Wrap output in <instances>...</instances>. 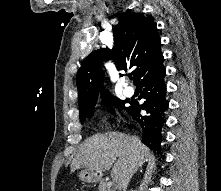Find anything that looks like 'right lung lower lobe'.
<instances>
[{"mask_svg":"<svg viewBox=\"0 0 221 191\" xmlns=\"http://www.w3.org/2000/svg\"><path fill=\"white\" fill-rule=\"evenodd\" d=\"M165 68L163 56L148 68L135 82L140 89V98L145 99L143 104L137 101L130 102L127 110L132 118L138 122L142 132V143L151 150L160 152L162 142V128L165 124V112L168 102L165 98L166 85L164 84ZM141 110L146 115H141Z\"/></svg>","mask_w":221,"mask_h":191,"instance_id":"1","label":"right lung lower lobe"}]
</instances>
